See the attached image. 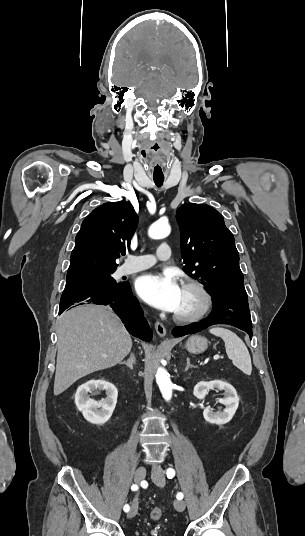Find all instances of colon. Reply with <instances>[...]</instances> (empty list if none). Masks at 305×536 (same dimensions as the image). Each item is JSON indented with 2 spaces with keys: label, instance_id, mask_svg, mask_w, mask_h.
Masks as SVG:
<instances>
[{
  "label": "colon",
  "instance_id": "1",
  "mask_svg": "<svg viewBox=\"0 0 305 536\" xmlns=\"http://www.w3.org/2000/svg\"><path fill=\"white\" fill-rule=\"evenodd\" d=\"M163 515V508L160 506H155L150 512V518L153 520H158Z\"/></svg>",
  "mask_w": 305,
  "mask_h": 536
}]
</instances>
